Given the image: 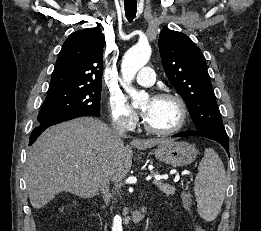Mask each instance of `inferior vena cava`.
I'll return each mask as SVG.
<instances>
[{"label":"inferior vena cava","instance_id":"1","mask_svg":"<svg viewBox=\"0 0 261 231\" xmlns=\"http://www.w3.org/2000/svg\"><path fill=\"white\" fill-rule=\"evenodd\" d=\"M111 126L115 136H121L125 134V126L120 120L113 121ZM101 192L106 205H108L110 202L111 194L109 191V176L107 173H105L103 181L101 183Z\"/></svg>","mask_w":261,"mask_h":231}]
</instances>
